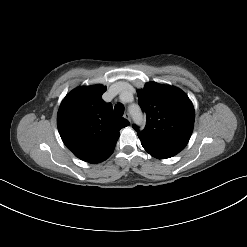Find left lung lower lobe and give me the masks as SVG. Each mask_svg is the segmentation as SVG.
Returning a JSON list of instances; mask_svg holds the SVG:
<instances>
[{
  "label": "left lung lower lobe",
  "mask_w": 247,
  "mask_h": 247,
  "mask_svg": "<svg viewBox=\"0 0 247 247\" xmlns=\"http://www.w3.org/2000/svg\"><path fill=\"white\" fill-rule=\"evenodd\" d=\"M150 155H152L153 157L157 158V159H166V158H170L173 157V155H168V154H164V153H160V152H156L153 150H149L144 148Z\"/></svg>",
  "instance_id": "1"
}]
</instances>
